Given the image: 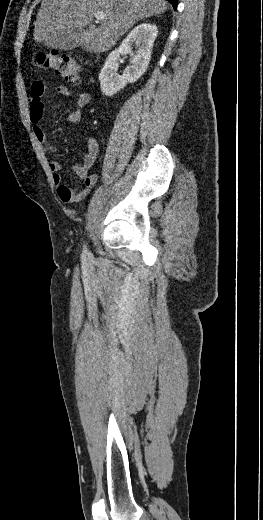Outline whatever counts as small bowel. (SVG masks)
<instances>
[{
	"instance_id": "obj_1",
	"label": "small bowel",
	"mask_w": 263,
	"mask_h": 520,
	"mask_svg": "<svg viewBox=\"0 0 263 520\" xmlns=\"http://www.w3.org/2000/svg\"><path fill=\"white\" fill-rule=\"evenodd\" d=\"M47 86L42 81H35L30 89V120L33 124V132L35 137L43 149V151L52 155L56 152V148L50 144L45 132L41 126V121L44 114V94ZM58 95L71 96L72 91L65 85H58L55 88ZM90 94L88 92H79L75 97V108L69 112L67 119L70 123L78 124L81 121V110L89 103ZM99 154V144L93 137H88L86 141V153L83 161L74 167V172L79 179L83 181L82 187L73 189L64 184L61 175L62 165L52 159L48 158V167L52 173L53 181L57 186V193L61 201L65 203L79 202L84 199L91 189L96 185L98 180L97 174H90V169L94 165Z\"/></svg>"
}]
</instances>
